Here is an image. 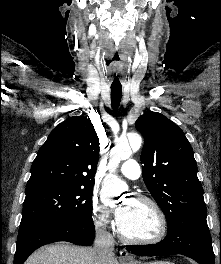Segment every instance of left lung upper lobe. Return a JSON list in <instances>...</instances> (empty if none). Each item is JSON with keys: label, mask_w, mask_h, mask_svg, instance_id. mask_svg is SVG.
Masks as SVG:
<instances>
[{"label": "left lung upper lobe", "mask_w": 221, "mask_h": 264, "mask_svg": "<svg viewBox=\"0 0 221 264\" xmlns=\"http://www.w3.org/2000/svg\"><path fill=\"white\" fill-rule=\"evenodd\" d=\"M135 126L145 140L140 157L143 180L168 226L206 222L197 164L183 131L164 115L151 111L141 115Z\"/></svg>", "instance_id": "5c2ea615"}]
</instances>
